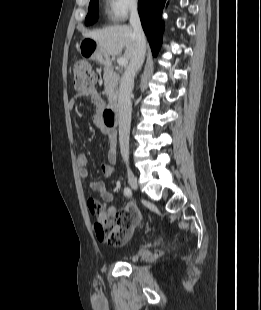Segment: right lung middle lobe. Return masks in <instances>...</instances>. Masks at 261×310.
Returning <instances> with one entry per match:
<instances>
[{"mask_svg":"<svg viewBox=\"0 0 261 310\" xmlns=\"http://www.w3.org/2000/svg\"><path fill=\"white\" fill-rule=\"evenodd\" d=\"M98 1L99 0H90L88 14L85 19V24H93L98 19Z\"/></svg>","mask_w":261,"mask_h":310,"instance_id":"dd1d6c3e","label":"right lung middle lobe"}]
</instances>
